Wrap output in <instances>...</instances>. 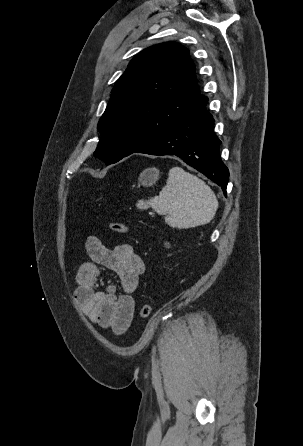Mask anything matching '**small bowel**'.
<instances>
[{
	"instance_id": "small-bowel-1",
	"label": "small bowel",
	"mask_w": 303,
	"mask_h": 446,
	"mask_svg": "<svg viewBox=\"0 0 303 446\" xmlns=\"http://www.w3.org/2000/svg\"><path fill=\"white\" fill-rule=\"evenodd\" d=\"M89 261L80 265L77 274L75 300L80 304L88 319L103 327L111 328L116 334H123L129 328L135 311L134 292L145 266L131 245L121 243L106 247L99 238L89 236L85 241ZM114 272L119 279L120 292L104 280L100 271Z\"/></svg>"
}]
</instances>
